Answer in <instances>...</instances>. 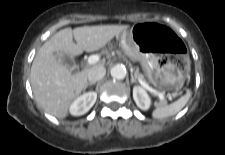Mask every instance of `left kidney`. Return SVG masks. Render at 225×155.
<instances>
[{
    "mask_svg": "<svg viewBox=\"0 0 225 155\" xmlns=\"http://www.w3.org/2000/svg\"><path fill=\"white\" fill-rule=\"evenodd\" d=\"M133 99L141 110H148L151 105L150 97L144 88L135 86L133 88Z\"/></svg>",
    "mask_w": 225,
    "mask_h": 155,
    "instance_id": "left-kidney-1",
    "label": "left kidney"
}]
</instances>
